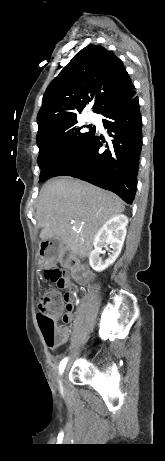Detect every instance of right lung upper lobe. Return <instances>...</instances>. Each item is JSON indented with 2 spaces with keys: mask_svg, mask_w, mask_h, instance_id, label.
Masks as SVG:
<instances>
[{
  "mask_svg": "<svg viewBox=\"0 0 165 461\" xmlns=\"http://www.w3.org/2000/svg\"><path fill=\"white\" fill-rule=\"evenodd\" d=\"M122 61L102 46L79 51L49 84L37 115V138L77 115L94 99L93 111L103 114L135 96Z\"/></svg>",
  "mask_w": 165,
  "mask_h": 461,
  "instance_id": "1",
  "label": "right lung upper lobe"
}]
</instances>
